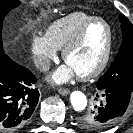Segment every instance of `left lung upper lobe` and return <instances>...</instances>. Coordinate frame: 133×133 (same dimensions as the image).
<instances>
[{
    "instance_id": "5c2ea615",
    "label": "left lung upper lobe",
    "mask_w": 133,
    "mask_h": 133,
    "mask_svg": "<svg viewBox=\"0 0 133 133\" xmlns=\"http://www.w3.org/2000/svg\"><path fill=\"white\" fill-rule=\"evenodd\" d=\"M120 21L122 44L110 68L97 81L96 86L99 90L109 86H119L133 91V25L124 15L120 16ZM95 110L96 108L93 111ZM93 111L78 116V125L87 131L104 129L105 125L97 124L93 120Z\"/></svg>"
}]
</instances>
